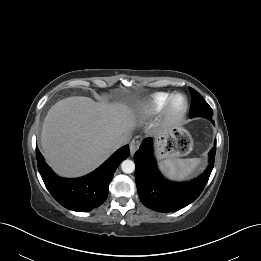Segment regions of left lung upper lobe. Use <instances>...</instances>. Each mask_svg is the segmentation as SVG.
<instances>
[{
	"label": "left lung upper lobe",
	"mask_w": 261,
	"mask_h": 261,
	"mask_svg": "<svg viewBox=\"0 0 261 261\" xmlns=\"http://www.w3.org/2000/svg\"><path fill=\"white\" fill-rule=\"evenodd\" d=\"M192 101L189 116L191 118L196 116L206 117L208 119L212 118L213 111L211 107L207 104L204 98L193 88L189 87Z\"/></svg>",
	"instance_id": "5c2ea615"
}]
</instances>
